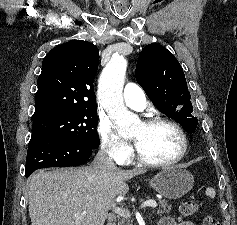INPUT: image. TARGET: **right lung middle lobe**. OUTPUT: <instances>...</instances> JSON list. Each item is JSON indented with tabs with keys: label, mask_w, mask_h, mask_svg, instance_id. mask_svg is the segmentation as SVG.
Masks as SVG:
<instances>
[{
	"label": "right lung middle lobe",
	"mask_w": 237,
	"mask_h": 225,
	"mask_svg": "<svg viewBox=\"0 0 237 225\" xmlns=\"http://www.w3.org/2000/svg\"><path fill=\"white\" fill-rule=\"evenodd\" d=\"M97 109L82 110L33 121V133L61 137L97 149Z\"/></svg>",
	"instance_id": "right-lung-middle-lobe-1"
}]
</instances>
